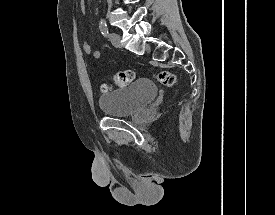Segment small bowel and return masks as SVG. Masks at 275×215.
Masks as SVG:
<instances>
[{
  "label": "small bowel",
  "instance_id": "c3829d8e",
  "mask_svg": "<svg viewBox=\"0 0 275 215\" xmlns=\"http://www.w3.org/2000/svg\"><path fill=\"white\" fill-rule=\"evenodd\" d=\"M81 49L86 54H91L92 53V56L95 59H99L100 56H101V52L99 50L92 51L91 45L86 41L82 43Z\"/></svg>",
  "mask_w": 275,
  "mask_h": 215
}]
</instances>
